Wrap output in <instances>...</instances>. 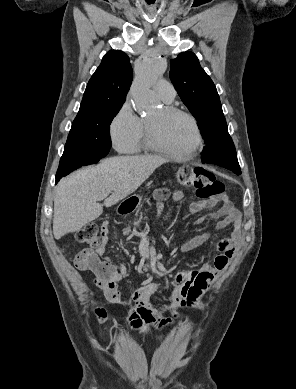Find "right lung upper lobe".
Instances as JSON below:
<instances>
[{
  "mask_svg": "<svg viewBox=\"0 0 296 389\" xmlns=\"http://www.w3.org/2000/svg\"><path fill=\"white\" fill-rule=\"evenodd\" d=\"M129 57L110 50L89 80L75 119L104 109L122 106L133 79Z\"/></svg>",
  "mask_w": 296,
  "mask_h": 389,
  "instance_id": "right-lung-upper-lobe-1",
  "label": "right lung upper lobe"
}]
</instances>
